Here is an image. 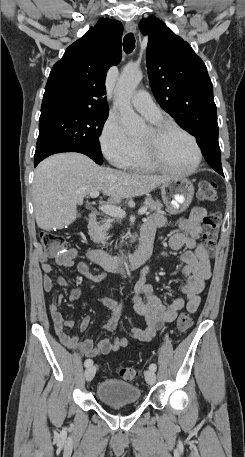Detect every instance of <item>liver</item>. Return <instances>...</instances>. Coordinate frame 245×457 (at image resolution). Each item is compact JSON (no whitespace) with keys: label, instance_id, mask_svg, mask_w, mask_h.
<instances>
[{"label":"liver","instance_id":"6515ba94","mask_svg":"<svg viewBox=\"0 0 245 457\" xmlns=\"http://www.w3.org/2000/svg\"><path fill=\"white\" fill-rule=\"evenodd\" d=\"M171 178L99 166L79 152L52 154L35 168L32 194L37 226L44 231L69 226L77 216V204H83L92 190H103L112 202H121L151 192Z\"/></svg>","mask_w":245,"mask_h":457}]
</instances>
